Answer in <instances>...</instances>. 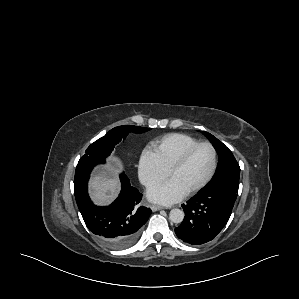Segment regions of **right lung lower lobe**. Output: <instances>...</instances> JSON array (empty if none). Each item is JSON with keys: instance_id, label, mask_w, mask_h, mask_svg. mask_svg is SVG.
Returning a JSON list of instances; mask_svg holds the SVG:
<instances>
[{"instance_id": "right-lung-lower-lobe-1", "label": "right lung lower lobe", "mask_w": 299, "mask_h": 299, "mask_svg": "<svg viewBox=\"0 0 299 299\" xmlns=\"http://www.w3.org/2000/svg\"><path fill=\"white\" fill-rule=\"evenodd\" d=\"M105 160L78 162L74 178V193L78 208L89 230L112 249H125L137 239L139 229L147 222L152 211L139 205L142 194L130 184L128 177L120 175L119 197L106 207L92 203L87 183L93 167Z\"/></svg>"}]
</instances>
